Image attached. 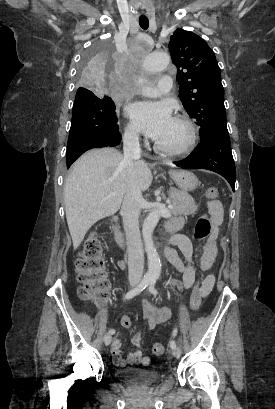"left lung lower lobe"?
<instances>
[{
  "mask_svg": "<svg viewBox=\"0 0 275 409\" xmlns=\"http://www.w3.org/2000/svg\"><path fill=\"white\" fill-rule=\"evenodd\" d=\"M186 169H208L222 175L231 185L233 191L236 180V169L231 152L229 133H214L201 140L197 148L180 163Z\"/></svg>",
  "mask_w": 275,
  "mask_h": 409,
  "instance_id": "0a47b994",
  "label": "left lung lower lobe"
}]
</instances>
